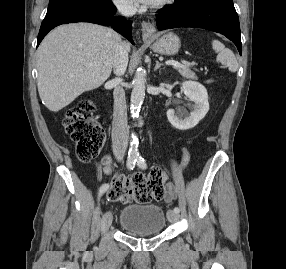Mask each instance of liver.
<instances>
[{
    "label": "liver",
    "instance_id": "liver-1",
    "mask_svg": "<svg viewBox=\"0 0 286 269\" xmlns=\"http://www.w3.org/2000/svg\"><path fill=\"white\" fill-rule=\"evenodd\" d=\"M119 44L117 33L91 23L52 30L37 50V85L44 105L58 112L82 93L101 86L111 74ZM125 44L129 51V43Z\"/></svg>",
    "mask_w": 286,
    "mask_h": 269
}]
</instances>
